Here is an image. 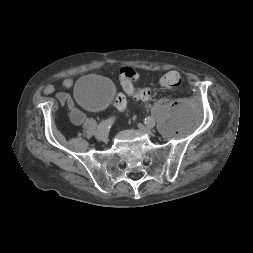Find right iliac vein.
<instances>
[{"label":"right iliac vein","instance_id":"right-iliac-vein-1","mask_svg":"<svg viewBox=\"0 0 253 253\" xmlns=\"http://www.w3.org/2000/svg\"><path fill=\"white\" fill-rule=\"evenodd\" d=\"M95 136L98 140H101V141H107L108 140L107 133L104 130H97Z\"/></svg>","mask_w":253,"mask_h":253}]
</instances>
